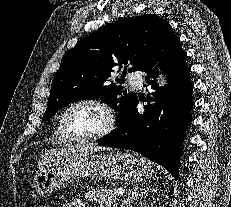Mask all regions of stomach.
Instances as JSON below:
<instances>
[{"instance_id":"0dacf381","label":"stomach","mask_w":231,"mask_h":207,"mask_svg":"<svg viewBox=\"0 0 231 207\" xmlns=\"http://www.w3.org/2000/svg\"><path fill=\"white\" fill-rule=\"evenodd\" d=\"M152 174V167L146 160L129 152H76L60 156L38 171L33 187L39 196L46 197L75 179L107 177L139 181Z\"/></svg>"}]
</instances>
